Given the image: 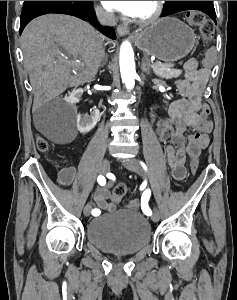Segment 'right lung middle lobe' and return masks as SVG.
<instances>
[{"mask_svg": "<svg viewBox=\"0 0 237 300\" xmlns=\"http://www.w3.org/2000/svg\"><path fill=\"white\" fill-rule=\"evenodd\" d=\"M42 2H45V1H24L23 9H27L31 6H34V5L42 3Z\"/></svg>", "mask_w": 237, "mask_h": 300, "instance_id": "right-lung-middle-lobe-1", "label": "right lung middle lobe"}]
</instances>
